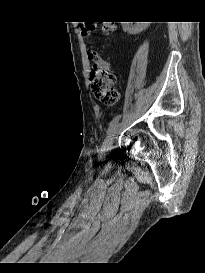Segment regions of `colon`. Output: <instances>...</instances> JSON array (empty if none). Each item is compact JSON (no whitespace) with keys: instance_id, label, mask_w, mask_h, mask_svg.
<instances>
[{"instance_id":"5ec220e1","label":"colon","mask_w":205,"mask_h":273,"mask_svg":"<svg viewBox=\"0 0 205 273\" xmlns=\"http://www.w3.org/2000/svg\"><path fill=\"white\" fill-rule=\"evenodd\" d=\"M101 25L104 31H110L114 23L112 20H105ZM91 30V25L83 26L85 33ZM89 58L92 62L90 89L93 97L104 105L114 104L118 100L119 94L115 87L116 78L111 72L108 62L94 50L89 52Z\"/></svg>"}]
</instances>
